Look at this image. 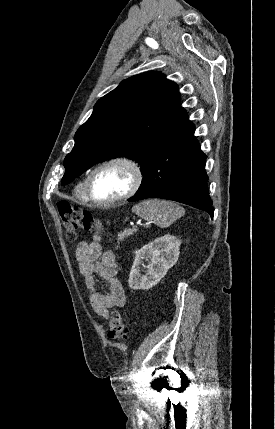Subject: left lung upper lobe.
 Masks as SVG:
<instances>
[{
	"instance_id": "obj_1",
	"label": "left lung upper lobe",
	"mask_w": 275,
	"mask_h": 429,
	"mask_svg": "<svg viewBox=\"0 0 275 429\" xmlns=\"http://www.w3.org/2000/svg\"><path fill=\"white\" fill-rule=\"evenodd\" d=\"M186 117L178 86L158 71L130 77L100 98L90 118L75 134L64 159L66 185L88 168L124 156L145 171L153 156Z\"/></svg>"
}]
</instances>
